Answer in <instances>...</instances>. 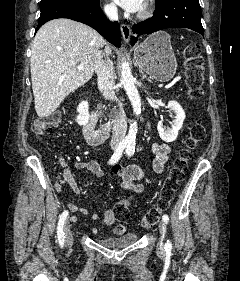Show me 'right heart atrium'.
<instances>
[{
	"label": "right heart atrium",
	"instance_id": "1",
	"mask_svg": "<svg viewBox=\"0 0 240 281\" xmlns=\"http://www.w3.org/2000/svg\"><path fill=\"white\" fill-rule=\"evenodd\" d=\"M104 11L107 16L110 18H115L117 17L118 11L116 6L112 2H105L104 3Z\"/></svg>",
	"mask_w": 240,
	"mask_h": 281
}]
</instances>
